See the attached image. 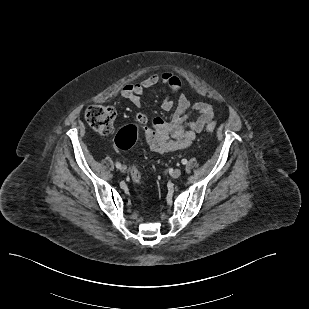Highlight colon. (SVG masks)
Returning a JSON list of instances; mask_svg holds the SVG:
<instances>
[{
  "mask_svg": "<svg viewBox=\"0 0 309 309\" xmlns=\"http://www.w3.org/2000/svg\"><path fill=\"white\" fill-rule=\"evenodd\" d=\"M116 111L113 107L108 105H91L85 110V119L87 123L98 133L106 135L112 132ZM208 132L215 130V124L210 123L206 126ZM138 127L136 125H127L122 128L116 135V146L121 150L130 149L137 138ZM147 141L151 148L156 149L159 146L158 137L153 131L147 133ZM131 178L134 183L139 184L141 181V174L137 167L131 170Z\"/></svg>",
  "mask_w": 309,
  "mask_h": 309,
  "instance_id": "5ec220e1",
  "label": "colon"
}]
</instances>
